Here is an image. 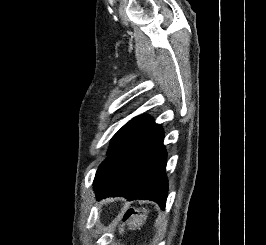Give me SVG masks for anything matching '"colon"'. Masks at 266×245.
I'll list each match as a JSON object with an SVG mask.
<instances>
[{
  "label": "colon",
  "mask_w": 266,
  "mask_h": 245,
  "mask_svg": "<svg viewBox=\"0 0 266 245\" xmlns=\"http://www.w3.org/2000/svg\"><path fill=\"white\" fill-rule=\"evenodd\" d=\"M144 213V210L139 208H129L125 211L122 222L119 225L120 230L136 229L140 226V219Z\"/></svg>",
  "instance_id": "5ec220e1"
}]
</instances>
